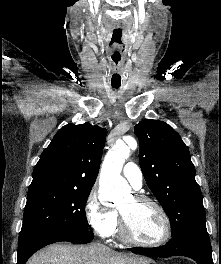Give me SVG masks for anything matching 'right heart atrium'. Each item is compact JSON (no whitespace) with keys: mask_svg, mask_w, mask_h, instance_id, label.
<instances>
[{"mask_svg":"<svg viewBox=\"0 0 221 264\" xmlns=\"http://www.w3.org/2000/svg\"><path fill=\"white\" fill-rule=\"evenodd\" d=\"M84 215L89 226L101 237L111 236L117 226L116 211L104 206L95 190L85 200Z\"/></svg>","mask_w":221,"mask_h":264,"instance_id":"obj_1","label":"right heart atrium"}]
</instances>
